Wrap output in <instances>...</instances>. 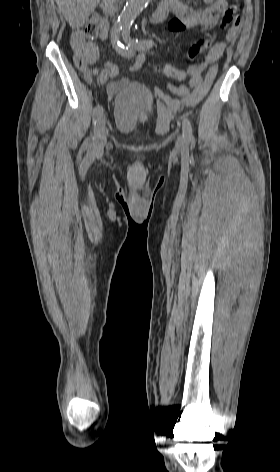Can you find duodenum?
Segmentation results:
<instances>
[{
  "label": "duodenum",
  "instance_id": "410a0bca",
  "mask_svg": "<svg viewBox=\"0 0 280 472\" xmlns=\"http://www.w3.org/2000/svg\"><path fill=\"white\" fill-rule=\"evenodd\" d=\"M117 0H102L101 8L107 15H113L116 9ZM169 14V10L164 5H159L151 17V22L160 23L166 19Z\"/></svg>",
  "mask_w": 280,
  "mask_h": 472
}]
</instances>
